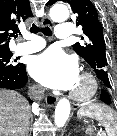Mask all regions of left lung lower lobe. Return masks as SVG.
<instances>
[{"label": "left lung lower lobe", "mask_w": 117, "mask_h": 136, "mask_svg": "<svg viewBox=\"0 0 117 136\" xmlns=\"http://www.w3.org/2000/svg\"><path fill=\"white\" fill-rule=\"evenodd\" d=\"M101 100H103L106 103L110 102V96L106 91H103L101 94Z\"/></svg>", "instance_id": "0a47b994"}]
</instances>
